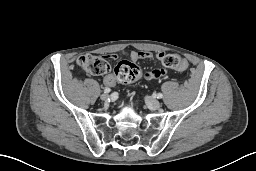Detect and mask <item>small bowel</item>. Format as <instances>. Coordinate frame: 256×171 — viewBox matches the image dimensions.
<instances>
[{
	"label": "small bowel",
	"mask_w": 256,
	"mask_h": 171,
	"mask_svg": "<svg viewBox=\"0 0 256 171\" xmlns=\"http://www.w3.org/2000/svg\"><path fill=\"white\" fill-rule=\"evenodd\" d=\"M166 54L164 52H159L158 54H156L155 56L147 51H131L128 56L131 60L133 61H138V60H142V59H152V60H157V61H161L162 58L165 56ZM111 58H116L117 55L113 54L111 56H108ZM184 60V59H183ZM185 65L183 68L179 69V71H184L185 69H187L188 67V63L186 60H184ZM166 75V70L162 69V68H158V69H154L152 71H148L144 74L145 79L147 80H158L162 77H164ZM103 82L106 86L108 87H113L116 85V76L114 74H108L104 77Z\"/></svg>",
	"instance_id": "1"
}]
</instances>
